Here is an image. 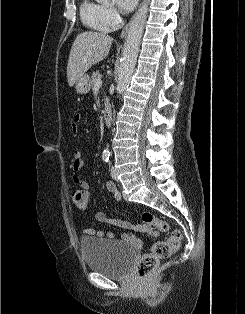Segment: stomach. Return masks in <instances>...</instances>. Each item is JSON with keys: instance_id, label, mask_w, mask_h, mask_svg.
<instances>
[{"instance_id": "obj_1", "label": "stomach", "mask_w": 245, "mask_h": 314, "mask_svg": "<svg viewBox=\"0 0 245 314\" xmlns=\"http://www.w3.org/2000/svg\"><path fill=\"white\" fill-rule=\"evenodd\" d=\"M89 76L83 74L75 83V88L79 94H87L90 90Z\"/></svg>"}]
</instances>
